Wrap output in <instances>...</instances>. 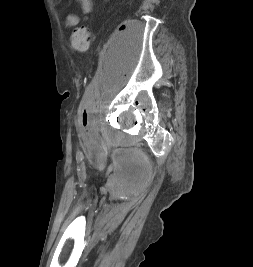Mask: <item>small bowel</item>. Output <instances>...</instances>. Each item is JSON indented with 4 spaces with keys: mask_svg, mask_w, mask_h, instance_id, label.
Returning a JSON list of instances; mask_svg holds the SVG:
<instances>
[{
    "mask_svg": "<svg viewBox=\"0 0 253 267\" xmlns=\"http://www.w3.org/2000/svg\"><path fill=\"white\" fill-rule=\"evenodd\" d=\"M77 7L85 14H89L92 11V0H75ZM79 17L74 14H68L65 20V26L68 28L76 27L79 24Z\"/></svg>",
    "mask_w": 253,
    "mask_h": 267,
    "instance_id": "c3829d8e",
    "label": "small bowel"
}]
</instances>
